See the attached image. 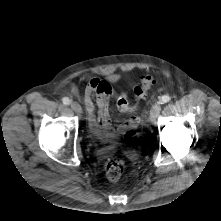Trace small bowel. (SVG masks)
Returning <instances> with one entry per match:
<instances>
[{
  "instance_id": "small-bowel-1",
  "label": "small bowel",
  "mask_w": 221,
  "mask_h": 221,
  "mask_svg": "<svg viewBox=\"0 0 221 221\" xmlns=\"http://www.w3.org/2000/svg\"><path fill=\"white\" fill-rule=\"evenodd\" d=\"M78 93L76 87L72 88ZM112 88L105 81L91 79L84 91V104L86 107L89 126L93 134L103 142H114L118 133L128 132L134 129L138 118L130 114V107L121 105L118 108L121 112L129 114L121 123L114 125L110 117V100Z\"/></svg>"
}]
</instances>
